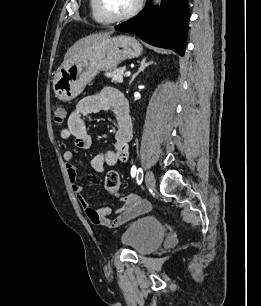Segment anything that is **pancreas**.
I'll return each mask as SVG.
<instances>
[{"mask_svg":"<svg viewBox=\"0 0 261 306\" xmlns=\"http://www.w3.org/2000/svg\"><path fill=\"white\" fill-rule=\"evenodd\" d=\"M124 71H125L124 68H118L113 71L107 72L105 76L107 78L112 79V81L115 83H122L124 77Z\"/></svg>","mask_w":261,"mask_h":306,"instance_id":"cf45deb5","label":"pancreas"}]
</instances>
